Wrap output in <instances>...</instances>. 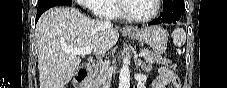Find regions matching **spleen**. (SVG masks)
<instances>
[{
	"label": "spleen",
	"mask_w": 227,
	"mask_h": 88,
	"mask_svg": "<svg viewBox=\"0 0 227 88\" xmlns=\"http://www.w3.org/2000/svg\"><path fill=\"white\" fill-rule=\"evenodd\" d=\"M172 38H173V43L177 47L183 46L186 42V33L184 29L179 27L174 29V31L172 32Z\"/></svg>",
	"instance_id": "spleen-1"
}]
</instances>
